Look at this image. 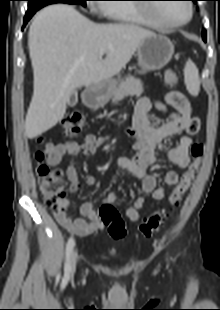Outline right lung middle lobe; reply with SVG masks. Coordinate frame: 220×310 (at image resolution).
Here are the masks:
<instances>
[{
	"instance_id": "right-lung-middle-lobe-1",
	"label": "right lung middle lobe",
	"mask_w": 220,
	"mask_h": 310,
	"mask_svg": "<svg viewBox=\"0 0 220 310\" xmlns=\"http://www.w3.org/2000/svg\"><path fill=\"white\" fill-rule=\"evenodd\" d=\"M28 11L39 10L40 8L52 4V3H69V4H81L86 6L87 0H28Z\"/></svg>"
}]
</instances>
